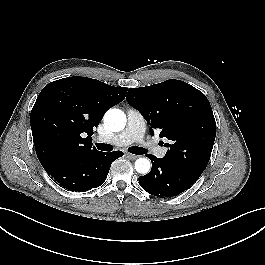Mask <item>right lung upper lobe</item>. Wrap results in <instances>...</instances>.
<instances>
[{
  "mask_svg": "<svg viewBox=\"0 0 265 265\" xmlns=\"http://www.w3.org/2000/svg\"><path fill=\"white\" fill-rule=\"evenodd\" d=\"M127 90L79 76L46 85L30 116L34 146L43 168L99 152L92 147L93 128L109 108L125 98Z\"/></svg>",
  "mask_w": 265,
  "mask_h": 265,
  "instance_id": "obj_1",
  "label": "right lung upper lobe"
}]
</instances>
